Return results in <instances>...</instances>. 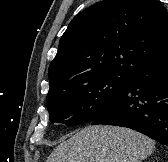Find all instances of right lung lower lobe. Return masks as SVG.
<instances>
[{
	"label": "right lung lower lobe",
	"mask_w": 168,
	"mask_h": 162,
	"mask_svg": "<svg viewBox=\"0 0 168 162\" xmlns=\"http://www.w3.org/2000/svg\"><path fill=\"white\" fill-rule=\"evenodd\" d=\"M92 124L131 128L168 146V58L131 75Z\"/></svg>",
	"instance_id": "obj_1"
}]
</instances>
